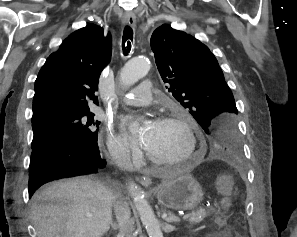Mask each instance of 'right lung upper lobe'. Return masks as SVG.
<instances>
[{"instance_id":"cb5924a9","label":"right lung upper lobe","mask_w":297,"mask_h":237,"mask_svg":"<svg viewBox=\"0 0 297 237\" xmlns=\"http://www.w3.org/2000/svg\"><path fill=\"white\" fill-rule=\"evenodd\" d=\"M111 53V37L100 26L88 24L71 34L37 76L32 121L60 111L89 112L88 101L98 104L94 92Z\"/></svg>"}]
</instances>
